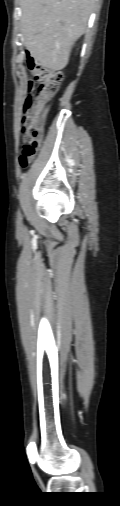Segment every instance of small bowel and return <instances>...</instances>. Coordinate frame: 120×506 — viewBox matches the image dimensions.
Masks as SVG:
<instances>
[{
	"label": "small bowel",
	"mask_w": 120,
	"mask_h": 506,
	"mask_svg": "<svg viewBox=\"0 0 120 506\" xmlns=\"http://www.w3.org/2000/svg\"><path fill=\"white\" fill-rule=\"evenodd\" d=\"M28 88H29L30 90L33 88V85H32V83H31V82L29 83Z\"/></svg>",
	"instance_id": "obj_1"
}]
</instances>
